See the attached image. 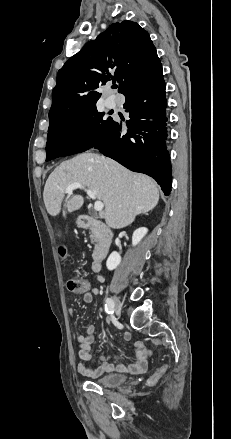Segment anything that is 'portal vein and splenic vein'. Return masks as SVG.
Returning <instances> with one entry per match:
<instances>
[{"label":"portal vein and splenic vein","mask_w":231,"mask_h":439,"mask_svg":"<svg viewBox=\"0 0 231 439\" xmlns=\"http://www.w3.org/2000/svg\"><path fill=\"white\" fill-rule=\"evenodd\" d=\"M75 189H83L91 199H93V200L96 199L95 193L93 191L89 190V189H86L80 183H73V184H71L69 187L66 188L65 192L68 193V194H72ZM103 208H104L103 202H101L99 200H96L95 203H94V210L99 212V213H102L103 212Z\"/></svg>","instance_id":"portal-vein-and-splenic-vein-1"}]
</instances>
